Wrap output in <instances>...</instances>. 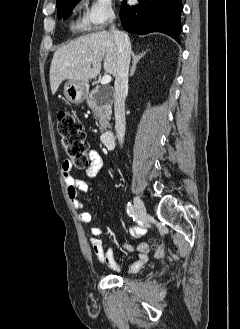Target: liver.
I'll return each mask as SVG.
<instances>
[{"label":"liver","instance_id":"liver-1","mask_svg":"<svg viewBox=\"0 0 240 329\" xmlns=\"http://www.w3.org/2000/svg\"><path fill=\"white\" fill-rule=\"evenodd\" d=\"M104 70L116 74L117 45L113 33H91L60 47L53 55L50 66V86L54 95L64 80L87 82Z\"/></svg>","mask_w":240,"mask_h":329}]
</instances>
